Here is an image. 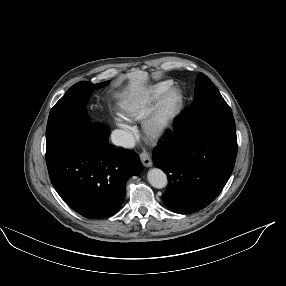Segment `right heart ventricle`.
I'll return each mask as SVG.
<instances>
[{"instance_id": "right-heart-ventricle-1", "label": "right heart ventricle", "mask_w": 286, "mask_h": 286, "mask_svg": "<svg viewBox=\"0 0 286 286\" xmlns=\"http://www.w3.org/2000/svg\"><path fill=\"white\" fill-rule=\"evenodd\" d=\"M173 86L171 80H162L127 94L121 102L122 115L131 119L145 116L157 99Z\"/></svg>"}]
</instances>
